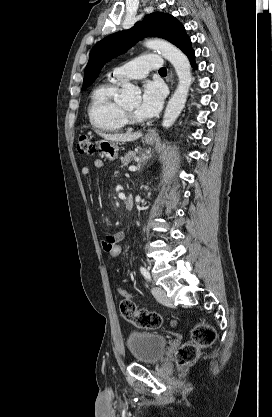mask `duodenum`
I'll return each mask as SVG.
<instances>
[{
    "label": "duodenum",
    "mask_w": 272,
    "mask_h": 417,
    "mask_svg": "<svg viewBox=\"0 0 272 417\" xmlns=\"http://www.w3.org/2000/svg\"><path fill=\"white\" fill-rule=\"evenodd\" d=\"M125 208L131 210L134 206V196L132 194L128 195L125 199Z\"/></svg>",
    "instance_id": "410a0bca"
}]
</instances>
